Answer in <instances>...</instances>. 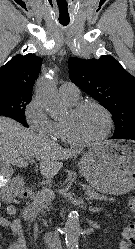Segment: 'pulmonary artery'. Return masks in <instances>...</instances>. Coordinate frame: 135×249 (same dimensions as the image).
<instances>
[{"mask_svg": "<svg viewBox=\"0 0 135 249\" xmlns=\"http://www.w3.org/2000/svg\"><path fill=\"white\" fill-rule=\"evenodd\" d=\"M60 95L69 101H77L80 97L79 88L72 82H65L59 88Z\"/></svg>", "mask_w": 135, "mask_h": 249, "instance_id": "pulmonary-artery-1", "label": "pulmonary artery"}]
</instances>
